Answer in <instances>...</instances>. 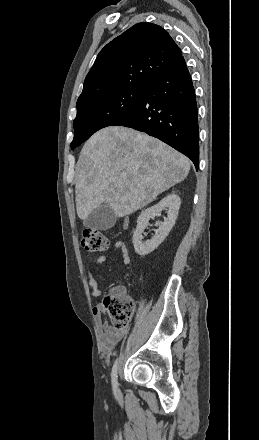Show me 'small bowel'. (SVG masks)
Instances as JSON below:
<instances>
[{
    "mask_svg": "<svg viewBox=\"0 0 259 440\" xmlns=\"http://www.w3.org/2000/svg\"><path fill=\"white\" fill-rule=\"evenodd\" d=\"M115 248L121 253L124 264L129 265L131 263V258L129 256L128 249L125 243L122 241H117L115 243ZM106 259L107 258L105 255L97 256L90 261L87 268L88 284L91 288V295L94 298H98L101 294V291L98 287V283L94 277V269L96 268V266L104 263ZM103 312H104V308L101 304H97L93 308V314L96 317L97 326H98L100 347L104 353L108 354L123 338L125 334V329H116L114 327H111L103 319Z\"/></svg>",
    "mask_w": 259,
    "mask_h": 440,
    "instance_id": "small-bowel-1",
    "label": "small bowel"
}]
</instances>
